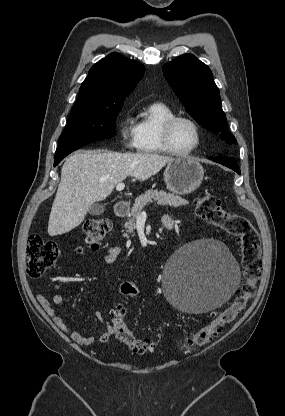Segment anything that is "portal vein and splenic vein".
Here are the masks:
<instances>
[{
    "label": "portal vein and splenic vein",
    "mask_w": 285,
    "mask_h": 416,
    "mask_svg": "<svg viewBox=\"0 0 285 416\" xmlns=\"http://www.w3.org/2000/svg\"><path fill=\"white\" fill-rule=\"evenodd\" d=\"M125 184H117L116 190L117 192H121V190H124ZM141 216H146V212H142Z\"/></svg>",
    "instance_id": "18ae733b"
}]
</instances>
